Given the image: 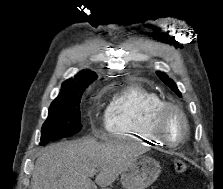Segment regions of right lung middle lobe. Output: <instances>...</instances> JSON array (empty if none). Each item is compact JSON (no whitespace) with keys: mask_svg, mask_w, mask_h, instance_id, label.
<instances>
[{"mask_svg":"<svg viewBox=\"0 0 223 189\" xmlns=\"http://www.w3.org/2000/svg\"><path fill=\"white\" fill-rule=\"evenodd\" d=\"M84 91L57 97L49 108L41 131L40 145L78 133L81 128L80 101Z\"/></svg>","mask_w":223,"mask_h":189,"instance_id":"obj_1","label":"right lung middle lobe"}]
</instances>
